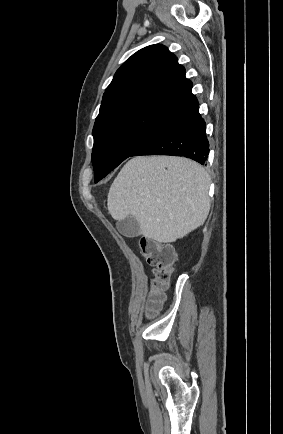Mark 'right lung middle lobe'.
I'll return each instance as SVG.
<instances>
[{"label":"right lung middle lobe","mask_w":283,"mask_h":434,"mask_svg":"<svg viewBox=\"0 0 283 434\" xmlns=\"http://www.w3.org/2000/svg\"><path fill=\"white\" fill-rule=\"evenodd\" d=\"M170 121L149 113H130L95 125L92 132L95 182L109 174Z\"/></svg>","instance_id":"dd1d6c3e"}]
</instances>
